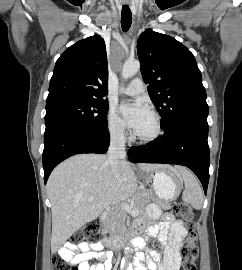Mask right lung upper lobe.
<instances>
[{"mask_svg": "<svg viewBox=\"0 0 242 270\" xmlns=\"http://www.w3.org/2000/svg\"><path fill=\"white\" fill-rule=\"evenodd\" d=\"M108 92L106 47L99 35L80 40L57 60L46 105L67 100H102Z\"/></svg>", "mask_w": 242, "mask_h": 270, "instance_id": "right-lung-upper-lobe-1", "label": "right lung upper lobe"}]
</instances>
